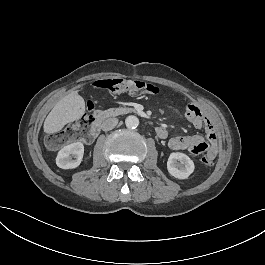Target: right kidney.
Returning <instances> with one entry per match:
<instances>
[{
    "label": "right kidney",
    "instance_id": "obj_1",
    "mask_svg": "<svg viewBox=\"0 0 265 265\" xmlns=\"http://www.w3.org/2000/svg\"><path fill=\"white\" fill-rule=\"evenodd\" d=\"M84 153V144L82 142H74L61 148L56 156V165L63 170H73L79 167ZM75 154L76 161L70 159Z\"/></svg>",
    "mask_w": 265,
    "mask_h": 265
}]
</instances>
